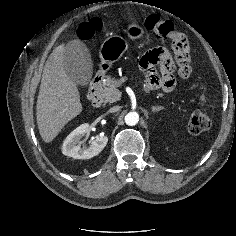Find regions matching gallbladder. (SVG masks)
<instances>
[{"label":"gallbladder","instance_id":"gallbladder-1","mask_svg":"<svg viewBox=\"0 0 236 236\" xmlns=\"http://www.w3.org/2000/svg\"><path fill=\"white\" fill-rule=\"evenodd\" d=\"M64 68L75 84L88 85L93 74V65L91 55L85 44L80 41H71L66 45Z\"/></svg>","mask_w":236,"mask_h":236}]
</instances>
